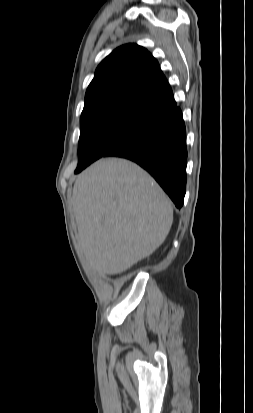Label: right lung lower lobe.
Masks as SVG:
<instances>
[{
    "instance_id": "right-lung-lower-lobe-1",
    "label": "right lung lower lobe",
    "mask_w": 253,
    "mask_h": 413,
    "mask_svg": "<svg viewBox=\"0 0 253 413\" xmlns=\"http://www.w3.org/2000/svg\"><path fill=\"white\" fill-rule=\"evenodd\" d=\"M115 156L136 162L147 170L177 208L186 191V129L179 107L165 112L144 131L111 150Z\"/></svg>"
}]
</instances>
